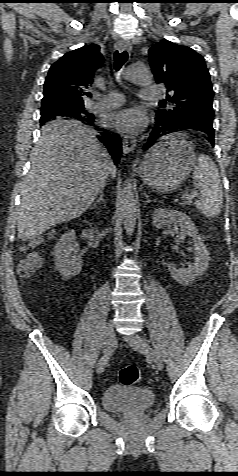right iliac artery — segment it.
Returning <instances> with one entry per match:
<instances>
[{
    "label": "right iliac artery",
    "instance_id": "right-iliac-artery-1",
    "mask_svg": "<svg viewBox=\"0 0 238 476\" xmlns=\"http://www.w3.org/2000/svg\"><path fill=\"white\" fill-rule=\"evenodd\" d=\"M113 342L115 343L116 341L114 340ZM113 342H110V343H109V346H110V347H113V346L115 345ZM112 354H113V350L110 351L109 357H111ZM109 357H108V359H109Z\"/></svg>",
    "mask_w": 238,
    "mask_h": 476
}]
</instances>
